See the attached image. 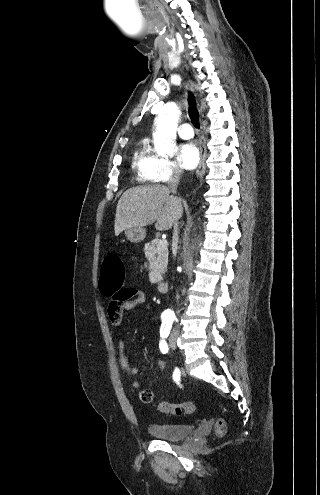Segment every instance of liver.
<instances>
[{
  "label": "liver",
  "instance_id": "liver-1",
  "mask_svg": "<svg viewBox=\"0 0 320 495\" xmlns=\"http://www.w3.org/2000/svg\"><path fill=\"white\" fill-rule=\"evenodd\" d=\"M181 200L161 185L131 188L118 201L115 215V235L131 227L155 223L159 231L170 230L182 216Z\"/></svg>",
  "mask_w": 320,
  "mask_h": 495
}]
</instances>
